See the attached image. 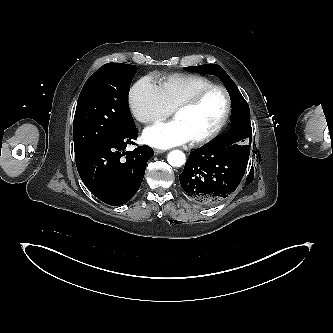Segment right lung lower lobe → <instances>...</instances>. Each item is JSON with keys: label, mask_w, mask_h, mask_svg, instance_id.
Here are the masks:
<instances>
[{"label": "right lung lower lobe", "mask_w": 333, "mask_h": 333, "mask_svg": "<svg viewBox=\"0 0 333 333\" xmlns=\"http://www.w3.org/2000/svg\"><path fill=\"white\" fill-rule=\"evenodd\" d=\"M136 126L121 136L107 140L92 150L75 156L78 173L88 190L112 206L127 203L138 191L146 164L154 155L149 146H138L125 152L127 144H135Z\"/></svg>", "instance_id": "1"}]
</instances>
